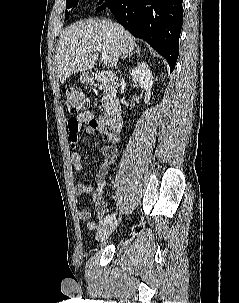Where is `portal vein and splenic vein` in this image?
<instances>
[{
    "instance_id": "18ae733b",
    "label": "portal vein and splenic vein",
    "mask_w": 239,
    "mask_h": 303,
    "mask_svg": "<svg viewBox=\"0 0 239 303\" xmlns=\"http://www.w3.org/2000/svg\"><path fill=\"white\" fill-rule=\"evenodd\" d=\"M92 51H98V52H101L102 54V60H103V63L105 65H108L111 63V58L107 55V53L105 52V48L103 47H99V46H95V47H89L87 48V50L84 51V53H90Z\"/></svg>"
}]
</instances>
